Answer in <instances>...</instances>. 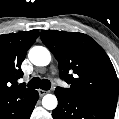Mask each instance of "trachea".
I'll return each instance as SVG.
<instances>
[{
  "instance_id": "1",
  "label": "trachea",
  "mask_w": 119,
  "mask_h": 119,
  "mask_svg": "<svg viewBox=\"0 0 119 119\" xmlns=\"http://www.w3.org/2000/svg\"><path fill=\"white\" fill-rule=\"evenodd\" d=\"M27 86L34 89L41 88L42 90H49L51 88V82L48 79L34 77L29 81Z\"/></svg>"
}]
</instances>
